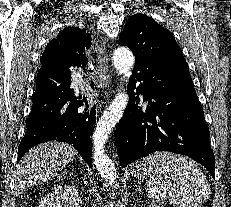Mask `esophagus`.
I'll list each match as a JSON object with an SVG mask.
<instances>
[{"label":"esophagus","instance_id":"esophagus-1","mask_svg":"<svg viewBox=\"0 0 231 207\" xmlns=\"http://www.w3.org/2000/svg\"><path fill=\"white\" fill-rule=\"evenodd\" d=\"M105 51L106 50L104 45L97 47L99 64L103 70L101 75L102 83L103 85L108 86L111 82V75L108 73V57Z\"/></svg>","mask_w":231,"mask_h":207}]
</instances>
